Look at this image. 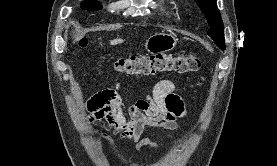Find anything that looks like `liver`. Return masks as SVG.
<instances>
[{"label": "liver", "instance_id": "obj_1", "mask_svg": "<svg viewBox=\"0 0 277 166\" xmlns=\"http://www.w3.org/2000/svg\"><path fill=\"white\" fill-rule=\"evenodd\" d=\"M122 42H123L122 39H114V40L110 41V44L111 45H117V44L122 43Z\"/></svg>", "mask_w": 277, "mask_h": 166}]
</instances>
